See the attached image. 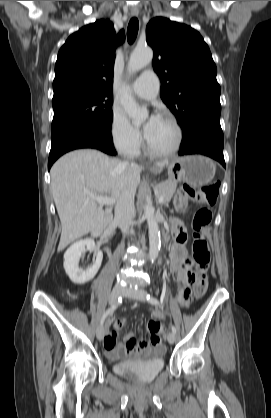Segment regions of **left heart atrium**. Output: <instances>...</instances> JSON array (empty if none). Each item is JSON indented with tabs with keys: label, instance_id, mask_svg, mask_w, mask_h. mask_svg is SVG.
Listing matches in <instances>:
<instances>
[{
	"label": "left heart atrium",
	"instance_id": "obj_1",
	"mask_svg": "<svg viewBox=\"0 0 271 418\" xmlns=\"http://www.w3.org/2000/svg\"><path fill=\"white\" fill-rule=\"evenodd\" d=\"M159 118L160 117L155 115V114L150 116L149 120L147 121V123L145 124V127H144V133H145L146 137L151 133V131L153 130V128L157 124Z\"/></svg>",
	"mask_w": 271,
	"mask_h": 418
}]
</instances>
